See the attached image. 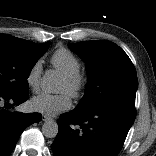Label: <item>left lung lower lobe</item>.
<instances>
[{
    "label": "left lung lower lobe",
    "mask_w": 156,
    "mask_h": 156,
    "mask_svg": "<svg viewBox=\"0 0 156 156\" xmlns=\"http://www.w3.org/2000/svg\"><path fill=\"white\" fill-rule=\"evenodd\" d=\"M136 116L135 109L118 104L64 113L51 145L55 156H117ZM78 124L73 129L69 124Z\"/></svg>",
    "instance_id": "left-lung-lower-lobe-1"
}]
</instances>
